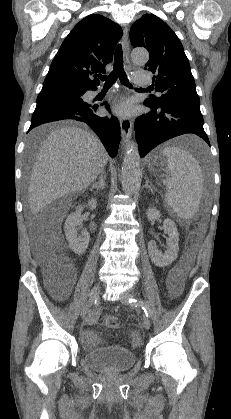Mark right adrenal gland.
Masks as SVG:
<instances>
[{
  "mask_svg": "<svg viewBox=\"0 0 231 419\" xmlns=\"http://www.w3.org/2000/svg\"><path fill=\"white\" fill-rule=\"evenodd\" d=\"M105 179H106V175L104 172H102L101 176L99 177L98 181L95 182L91 187L90 190L92 191L93 189H96L97 191H101L105 188L106 184H105Z\"/></svg>",
  "mask_w": 231,
  "mask_h": 419,
  "instance_id": "1",
  "label": "right adrenal gland"
}]
</instances>
